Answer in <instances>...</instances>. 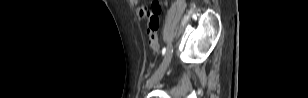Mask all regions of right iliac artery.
I'll return each instance as SVG.
<instances>
[{
    "instance_id": "right-iliac-artery-1",
    "label": "right iliac artery",
    "mask_w": 308,
    "mask_h": 98,
    "mask_svg": "<svg viewBox=\"0 0 308 98\" xmlns=\"http://www.w3.org/2000/svg\"><path fill=\"white\" fill-rule=\"evenodd\" d=\"M173 52V48H172V45L170 43L167 44L166 47L163 48L162 50V55H165L166 54H172ZM165 58V57H164ZM165 66V60H163L162 64L160 65V67L157 69V71L152 75L151 78H153L157 73H159V71H161Z\"/></svg>"
}]
</instances>
